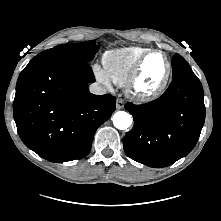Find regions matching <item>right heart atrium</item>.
<instances>
[{
	"instance_id": "1",
	"label": "right heart atrium",
	"mask_w": 221,
	"mask_h": 221,
	"mask_svg": "<svg viewBox=\"0 0 221 221\" xmlns=\"http://www.w3.org/2000/svg\"><path fill=\"white\" fill-rule=\"evenodd\" d=\"M92 71L97 81L104 84L105 86H110L111 80L107 76L104 68L100 67L98 64H95L92 67Z\"/></svg>"
}]
</instances>
